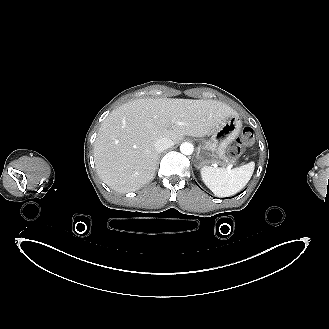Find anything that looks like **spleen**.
<instances>
[{
	"label": "spleen",
	"instance_id": "obj_1",
	"mask_svg": "<svg viewBox=\"0 0 329 329\" xmlns=\"http://www.w3.org/2000/svg\"><path fill=\"white\" fill-rule=\"evenodd\" d=\"M254 168V162L234 169L204 166L200 173L204 184L215 196L228 197L242 190L251 179Z\"/></svg>",
	"mask_w": 329,
	"mask_h": 329
}]
</instances>
